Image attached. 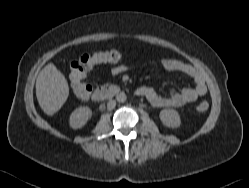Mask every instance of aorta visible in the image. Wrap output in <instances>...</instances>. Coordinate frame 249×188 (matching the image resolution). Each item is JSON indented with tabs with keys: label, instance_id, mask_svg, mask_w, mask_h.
<instances>
[{
	"label": "aorta",
	"instance_id": "aorta-1",
	"mask_svg": "<svg viewBox=\"0 0 249 188\" xmlns=\"http://www.w3.org/2000/svg\"><path fill=\"white\" fill-rule=\"evenodd\" d=\"M116 100L119 103H124L127 100V96L124 92H120L116 95Z\"/></svg>",
	"mask_w": 249,
	"mask_h": 188
}]
</instances>
